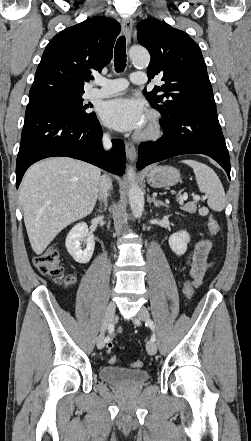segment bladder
Instances as JSON below:
<instances>
[{
  "label": "bladder",
  "instance_id": "bladder-1",
  "mask_svg": "<svg viewBox=\"0 0 251 441\" xmlns=\"http://www.w3.org/2000/svg\"><path fill=\"white\" fill-rule=\"evenodd\" d=\"M100 378L116 386L136 387L150 378L146 370L129 369L117 366H103L99 371Z\"/></svg>",
  "mask_w": 251,
  "mask_h": 441
}]
</instances>
